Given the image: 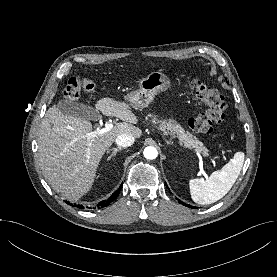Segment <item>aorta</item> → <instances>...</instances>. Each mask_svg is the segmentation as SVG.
I'll use <instances>...</instances> for the list:
<instances>
[{
    "instance_id": "762f6f07",
    "label": "aorta",
    "mask_w": 277,
    "mask_h": 277,
    "mask_svg": "<svg viewBox=\"0 0 277 277\" xmlns=\"http://www.w3.org/2000/svg\"><path fill=\"white\" fill-rule=\"evenodd\" d=\"M143 154L146 159L153 160L157 157L158 152L155 147L148 146L144 149Z\"/></svg>"
}]
</instances>
